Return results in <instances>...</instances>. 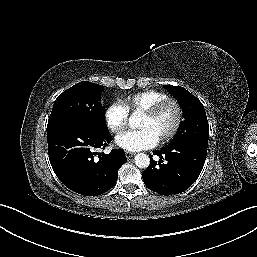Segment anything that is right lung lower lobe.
<instances>
[{
	"mask_svg": "<svg viewBox=\"0 0 257 257\" xmlns=\"http://www.w3.org/2000/svg\"><path fill=\"white\" fill-rule=\"evenodd\" d=\"M48 154L58 179L70 190L88 196L107 192L116 183L119 168L127 161L122 149L95 152L111 142L109 132H98L76 120L47 125ZM98 155V158L95 157Z\"/></svg>",
	"mask_w": 257,
	"mask_h": 257,
	"instance_id": "obj_1",
	"label": "right lung lower lobe"
}]
</instances>
